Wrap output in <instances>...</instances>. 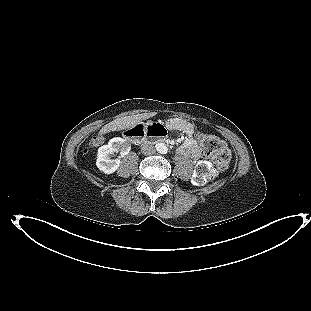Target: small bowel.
<instances>
[{"label": "small bowel", "instance_id": "1", "mask_svg": "<svg viewBox=\"0 0 311 311\" xmlns=\"http://www.w3.org/2000/svg\"><path fill=\"white\" fill-rule=\"evenodd\" d=\"M167 128L183 132L187 139L180 146L179 153L184 156H190L194 159L200 157V152L196 143V133L193 125L183 118H169L166 121Z\"/></svg>", "mask_w": 311, "mask_h": 311}]
</instances>
